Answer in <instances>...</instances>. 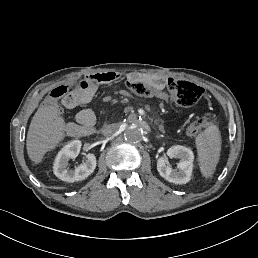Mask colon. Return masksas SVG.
Returning a JSON list of instances; mask_svg holds the SVG:
<instances>
[{
    "label": "colon",
    "instance_id": "1",
    "mask_svg": "<svg viewBox=\"0 0 258 258\" xmlns=\"http://www.w3.org/2000/svg\"><path fill=\"white\" fill-rule=\"evenodd\" d=\"M80 85V81L72 84L73 87ZM71 86L61 85L54 88L49 97L47 105H52L56 100L63 98ZM129 89L140 96L144 97H163L164 94L160 91L156 85H150L143 81L133 80L128 83ZM168 96L180 106H192L196 104L202 97L204 90L202 87L179 79L169 78L166 82ZM209 120V116L206 115L202 118L194 120L187 128V132L191 136H195L201 132Z\"/></svg>",
    "mask_w": 258,
    "mask_h": 258
}]
</instances>
